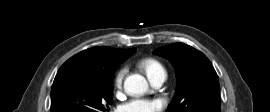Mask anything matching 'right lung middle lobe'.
Returning <instances> with one entry per match:
<instances>
[{
	"label": "right lung middle lobe",
	"mask_w": 270,
	"mask_h": 112,
	"mask_svg": "<svg viewBox=\"0 0 270 112\" xmlns=\"http://www.w3.org/2000/svg\"><path fill=\"white\" fill-rule=\"evenodd\" d=\"M115 72L61 66L51 89L50 112H107Z\"/></svg>",
	"instance_id": "dd1d6c3e"
}]
</instances>
